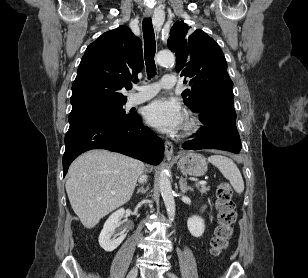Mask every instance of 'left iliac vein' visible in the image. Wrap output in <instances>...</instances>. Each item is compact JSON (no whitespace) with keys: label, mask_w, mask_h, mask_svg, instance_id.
<instances>
[{"label":"left iliac vein","mask_w":308,"mask_h":278,"mask_svg":"<svg viewBox=\"0 0 308 278\" xmlns=\"http://www.w3.org/2000/svg\"><path fill=\"white\" fill-rule=\"evenodd\" d=\"M169 278H178L175 274L173 273H168L167 274Z\"/></svg>","instance_id":"obj_1"}]
</instances>
